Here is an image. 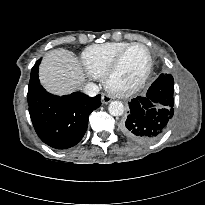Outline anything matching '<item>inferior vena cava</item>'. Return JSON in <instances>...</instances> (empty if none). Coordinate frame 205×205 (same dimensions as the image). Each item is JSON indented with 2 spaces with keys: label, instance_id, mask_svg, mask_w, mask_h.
Here are the masks:
<instances>
[{
  "label": "inferior vena cava",
  "instance_id": "602c4592",
  "mask_svg": "<svg viewBox=\"0 0 205 205\" xmlns=\"http://www.w3.org/2000/svg\"><path fill=\"white\" fill-rule=\"evenodd\" d=\"M83 91L86 95L94 97L99 93V87L94 83H88L84 86Z\"/></svg>",
  "mask_w": 205,
  "mask_h": 205
}]
</instances>
